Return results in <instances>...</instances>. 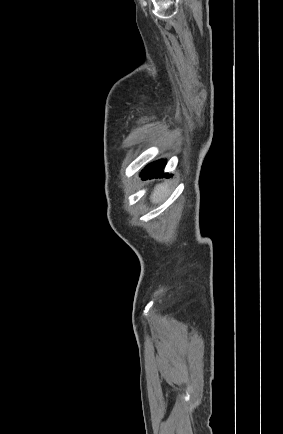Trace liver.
Listing matches in <instances>:
<instances>
[{
	"instance_id": "obj_1",
	"label": "liver",
	"mask_w": 283,
	"mask_h": 434,
	"mask_svg": "<svg viewBox=\"0 0 283 434\" xmlns=\"http://www.w3.org/2000/svg\"><path fill=\"white\" fill-rule=\"evenodd\" d=\"M169 194V188L167 184L157 185L151 195L153 202L164 200Z\"/></svg>"
}]
</instances>
